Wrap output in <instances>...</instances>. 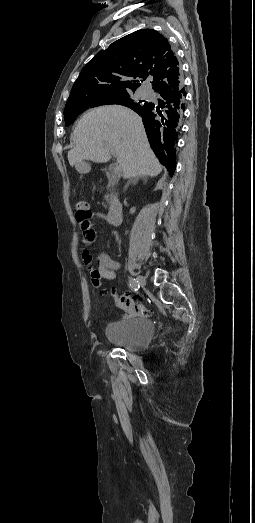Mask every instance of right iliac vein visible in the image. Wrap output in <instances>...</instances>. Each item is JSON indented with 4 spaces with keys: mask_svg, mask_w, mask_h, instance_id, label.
Masks as SVG:
<instances>
[{
    "mask_svg": "<svg viewBox=\"0 0 255 523\" xmlns=\"http://www.w3.org/2000/svg\"><path fill=\"white\" fill-rule=\"evenodd\" d=\"M139 285L145 286L146 285V279L143 276H138L137 278Z\"/></svg>",
    "mask_w": 255,
    "mask_h": 523,
    "instance_id": "right-iliac-vein-1",
    "label": "right iliac vein"
}]
</instances>
